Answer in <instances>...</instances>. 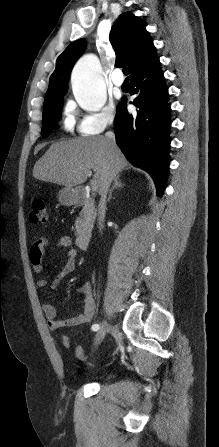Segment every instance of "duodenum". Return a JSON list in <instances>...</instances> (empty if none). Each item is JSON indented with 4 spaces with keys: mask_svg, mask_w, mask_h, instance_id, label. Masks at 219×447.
Listing matches in <instances>:
<instances>
[{
    "mask_svg": "<svg viewBox=\"0 0 219 447\" xmlns=\"http://www.w3.org/2000/svg\"><path fill=\"white\" fill-rule=\"evenodd\" d=\"M75 204L91 211L94 209L93 199L84 192H78L74 195ZM77 246L81 250H87L91 244V235L87 231L80 232L76 237Z\"/></svg>",
    "mask_w": 219,
    "mask_h": 447,
    "instance_id": "410a0bca",
    "label": "duodenum"
}]
</instances>
